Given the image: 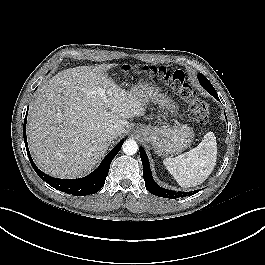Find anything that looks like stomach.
Returning <instances> with one entry per match:
<instances>
[{
	"label": "stomach",
	"mask_w": 265,
	"mask_h": 265,
	"mask_svg": "<svg viewBox=\"0 0 265 265\" xmlns=\"http://www.w3.org/2000/svg\"><path fill=\"white\" fill-rule=\"evenodd\" d=\"M132 92L143 104L155 102L165 115L175 117L179 115V108L155 83L139 79ZM136 132L147 142H150L158 155L168 156L183 152L194 141L193 128L187 124H180L174 120L173 124L167 123L154 127L139 125Z\"/></svg>",
	"instance_id": "stomach-1"
}]
</instances>
